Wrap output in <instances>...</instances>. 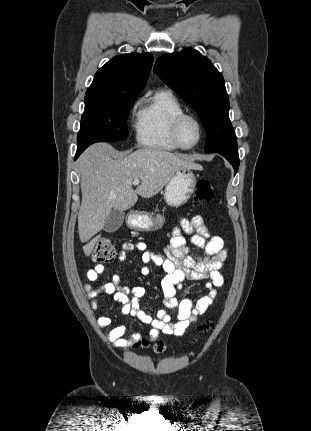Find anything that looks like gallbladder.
<instances>
[{"label":"gallbladder","instance_id":"bac80fb5","mask_svg":"<svg viewBox=\"0 0 311 431\" xmlns=\"http://www.w3.org/2000/svg\"><path fill=\"white\" fill-rule=\"evenodd\" d=\"M124 217V212H119V210H112L109 216L106 217V221L103 227L104 231H117V229L121 227L124 221Z\"/></svg>","mask_w":311,"mask_h":431}]
</instances>
